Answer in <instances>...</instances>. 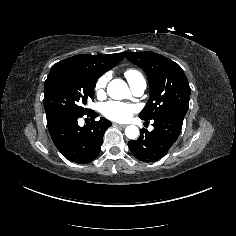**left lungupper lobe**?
<instances>
[{
    "mask_svg": "<svg viewBox=\"0 0 236 236\" xmlns=\"http://www.w3.org/2000/svg\"><path fill=\"white\" fill-rule=\"evenodd\" d=\"M124 54L146 72L149 81L150 98L139 114L142 120H152L174 110L187 112L191 90L177 63L150 51Z\"/></svg>",
    "mask_w": 236,
    "mask_h": 236,
    "instance_id": "obj_1",
    "label": "left lung upper lobe"
}]
</instances>
